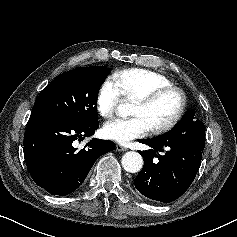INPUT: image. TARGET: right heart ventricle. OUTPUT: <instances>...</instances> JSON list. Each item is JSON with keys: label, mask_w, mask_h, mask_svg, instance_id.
Listing matches in <instances>:
<instances>
[{"label": "right heart ventricle", "mask_w": 237, "mask_h": 237, "mask_svg": "<svg viewBox=\"0 0 237 237\" xmlns=\"http://www.w3.org/2000/svg\"><path fill=\"white\" fill-rule=\"evenodd\" d=\"M113 78L127 100H136L153 89L173 85L165 75L139 68L118 71Z\"/></svg>", "instance_id": "obj_1"}]
</instances>
